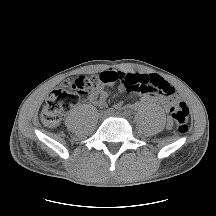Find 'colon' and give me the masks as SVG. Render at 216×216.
I'll return each instance as SVG.
<instances>
[{
  "label": "colon",
  "mask_w": 216,
  "mask_h": 216,
  "mask_svg": "<svg viewBox=\"0 0 216 216\" xmlns=\"http://www.w3.org/2000/svg\"><path fill=\"white\" fill-rule=\"evenodd\" d=\"M100 81L101 76H100ZM100 81L93 77L79 76L66 80L62 86L55 89L46 99L42 111L41 122L48 128L56 127L61 117L76 106L80 100L90 98L100 86ZM157 86L151 87L150 91L171 97L174 88L167 82H157ZM170 116L174 121L179 133L188 131L189 109L185 102L176 100L171 105Z\"/></svg>",
  "instance_id": "1"
}]
</instances>
